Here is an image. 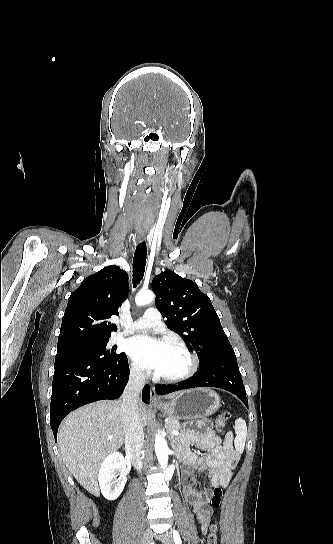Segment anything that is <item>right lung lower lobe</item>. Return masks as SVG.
Returning <instances> with one entry per match:
<instances>
[{"instance_id": "obj_1", "label": "right lung lower lobe", "mask_w": 333, "mask_h": 544, "mask_svg": "<svg viewBox=\"0 0 333 544\" xmlns=\"http://www.w3.org/2000/svg\"><path fill=\"white\" fill-rule=\"evenodd\" d=\"M129 379L126 355L117 363L107 364L91 359L83 352H59L55 357L50 425L57 439V430L64 417L85 404L118 399ZM142 400L149 403L150 387L143 388Z\"/></svg>"}]
</instances>
